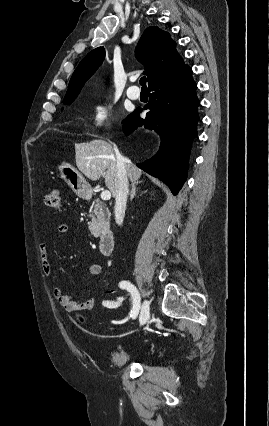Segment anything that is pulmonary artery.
I'll use <instances>...</instances> for the list:
<instances>
[{
  "label": "pulmonary artery",
  "instance_id": "e3ab8cb5",
  "mask_svg": "<svg viewBox=\"0 0 269 426\" xmlns=\"http://www.w3.org/2000/svg\"><path fill=\"white\" fill-rule=\"evenodd\" d=\"M127 96L132 100H137L140 97V90L137 86H130L127 89Z\"/></svg>",
  "mask_w": 269,
  "mask_h": 426
}]
</instances>
